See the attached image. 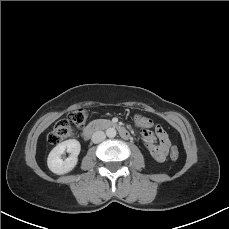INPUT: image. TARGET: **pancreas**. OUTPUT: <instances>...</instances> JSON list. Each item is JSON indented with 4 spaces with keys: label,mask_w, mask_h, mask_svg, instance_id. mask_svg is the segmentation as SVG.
Listing matches in <instances>:
<instances>
[{
    "label": "pancreas",
    "mask_w": 229,
    "mask_h": 229,
    "mask_svg": "<svg viewBox=\"0 0 229 229\" xmlns=\"http://www.w3.org/2000/svg\"><path fill=\"white\" fill-rule=\"evenodd\" d=\"M98 122H100V123H106V122H108L109 123L108 120H98Z\"/></svg>",
    "instance_id": "1"
}]
</instances>
